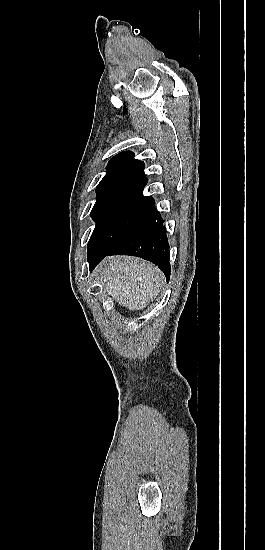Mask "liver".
I'll list each match as a JSON object with an SVG mask.
<instances>
[{
	"label": "liver",
	"instance_id": "obj_1",
	"mask_svg": "<svg viewBox=\"0 0 265 550\" xmlns=\"http://www.w3.org/2000/svg\"><path fill=\"white\" fill-rule=\"evenodd\" d=\"M100 270L107 293L130 311L143 310L156 298L163 282L156 267L134 257L107 258Z\"/></svg>",
	"mask_w": 265,
	"mask_h": 550
}]
</instances>
